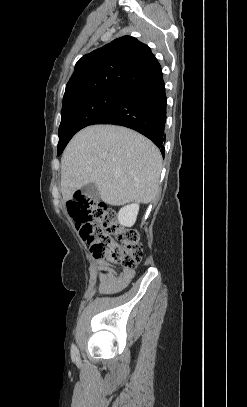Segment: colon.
Wrapping results in <instances>:
<instances>
[{
    "label": "colon",
    "mask_w": 247,
    "mask_h": 407,
    "mask_svg": "<svg viewBox=\"0 0 247 407\" xmlns=\"http://www.w3.org/2000/svg\"><path fill=\"white\" fill-rule=\"evenodd\" d=\"M68 213L95 258H105L124 269H134L143 256L137 231L121 226L104 202L79 195L68 203Z\"/></svg>",
    "instance_id": "5ec220e1"
}]
</instances>
